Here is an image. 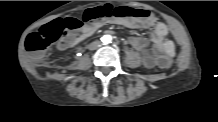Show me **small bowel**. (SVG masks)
Masks as SVG:
<instances>
[{
	"instance_id": "c3829d8e",
	"label": "small bowel",
	"mask_w": 218,
	"mask_h": 122,
	"mask_svg": "<svg viewBox=\"0 0 218 122\" xmlns=\"http://www.w3.org/2000/svg\"><path fill=\"white\" fill-rule=\"evenodd\" d=\"M115 23L118 24H124L127 27H132L133 26V22L130 20H115ZM98 25H82L80 30L83 33L84 36H88L90 34H92L96 29H97ZM167 36V28L160 24L156 27L155 30V42H156V48L157 50L163 51L165 53H172L173 52V43L172 41H170L169 39L166 38ZM80 40L79 37H76L75 35H69L66 39V42L64 44V46L66 48H71L73 46H75L78 41ZM131 45H133L134 47H140L142 45V41L137 38V37H131L129 39ZM153 62V58L148 56L146 57V63L148 65H151Z\"/></svg>"
}]
</instances>
